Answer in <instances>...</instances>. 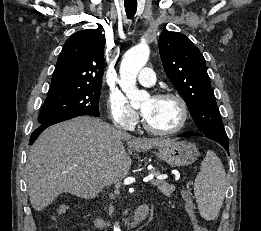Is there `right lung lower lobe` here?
Here are the masks:
<instances>
[{"label": "right lung lower lobe", "mask_w": 261, "mask_h": 231, "mask_svg": "<svg viewBox=\"0 0 261 231\" xmlns=\"http://www.w3.org/2000/svg\"><path fill=\"white\" fill-rule=\"evenodd\" d=\"M77 116H81V115H71V116L59 118V119H56V120H53V121H50V122L41 124L37 129H35V130L32 132L31 137H30V145L33 144V142L37 139V137L39 136V134H40L44 129H46L47 127H49V126H51V125H53V124H56V123H59V122H62V121H65V120H68V119L77 117Z\"/></svg>", "instance_id": "98d812e1"}]
</instances>
